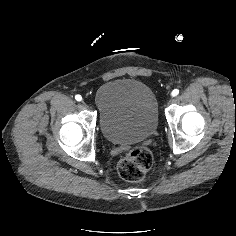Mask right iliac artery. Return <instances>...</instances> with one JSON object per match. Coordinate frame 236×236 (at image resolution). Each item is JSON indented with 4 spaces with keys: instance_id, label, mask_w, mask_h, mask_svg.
<instances>
[{
    "instance_id": "obj_1",
    "label": "right iliac artery",
    "mask_w": 236,
    "mask_h": 236,
    "mask_svg": "<svg viewBox=\"0 0 236 236\" xmlns=\"http://www.w3.org/2000/svg\"><path fill=\"white\" fill-rule=\"evenodd\" d=\"M75 99H76L77 101H81V100H82V97H81V95H76V96H75Z\"/></svg>"
}]
</instances>
